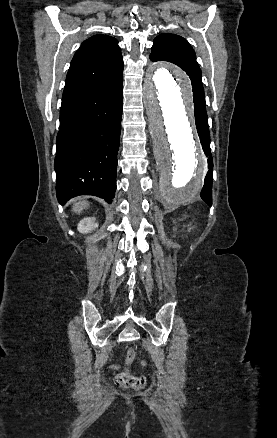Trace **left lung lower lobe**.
Listing matches in <instances>:
<instances>
[{"label": "left lung lower lobe", "instance_id": "obj_1", "mask_svg": "<svg viewBox=\"0 0 277 438\" xmlns=\"http://www.w3.org/2000/svg\"><path fill=\"white\" fill-rule=\"evenodd\" d=\"M195 112V121L198 135L202 144L203 151L208 157V168L210 169L205 177L204 187L200 194L201 198L209 205L212 204V168L213 161L210 152V133L208 129V118L206 113Z\"/></svg>", "mask_w": 277, "mask_h": 438}]
</instances>
